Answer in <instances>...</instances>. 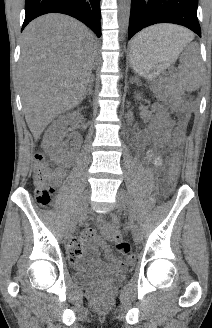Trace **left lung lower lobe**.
<instances>
[{
  "label": "left lung lower lobe",
  "mask_w": 212,
  "mask_h": 328,
  "mask_svg": "<svg viewBox=\"0 0 212 328\" xmlns=\"http://www.w3.org/2000/svg\"><path fill=\"white\" fill-rule=\"evenodd\" d=\"M198 0H131L128 39L157 23L185 26L201 37L197 18ZM140 48V44H135Z\"/></svg>",
  "instance_id": "obj_1"
}]
</instances>
